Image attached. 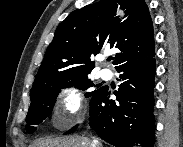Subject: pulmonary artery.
<instances>
[{"mask_svg": "<svg viewBox=\"0 0 183 147\" xmlns=\"http://www.w3.org/2000/svg\"><path fill=\"white\" fill-rule=\"evenodd\" d=\"M99 76L104 80H108L112 76L111 70L108 68L101 69L99 72Z\"/></svg>", "mask_w": 183, "mask_h": 147, "instance_id": "obj_1", "label": "pulmonary artery"}]
</instances>
